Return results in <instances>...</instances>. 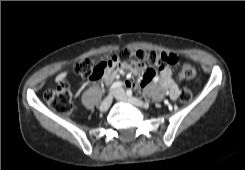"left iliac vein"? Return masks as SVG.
Instances as JSON below:
<instances>
[{"label":"left iliac vein","mask_w":245,"mask_h":170,"mask_svg":"<svg viewBox=\"0 0 245 170\" xmlns=\"http://www.w3.org/2000/svg\"><path fill=\"white\" fill-rule=\"evenodd\" d=\"M114 97L119 101L130 103L136 107H142L143 106V102L140 99L127 96L125 94L124 90L121 88L117 89L114 92Z\"/></svg>","instance_id":"obj_1"}]
</instances>
